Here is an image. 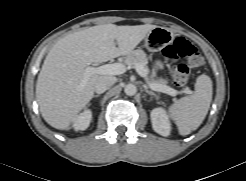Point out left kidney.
Returning <instances> with one entry per match:
<instances>
[{
	"instance_id": "left-kidney-1",
	"label": "left kidney",
	"mask_w": 246,
	"mask_h": 181,
	"mask_svg": "<svg viewBox=\"0 0 246 181\" xmlns=\"http://www.w3.org/2000/svg\"><path fill=\"white\" fill-rule=\"evenodd\" d=\"M152 127L155 132L162 136H168L171 131V123L169 118L162 108H155L150 114Z\"/></svg>"
}]
</instances>
